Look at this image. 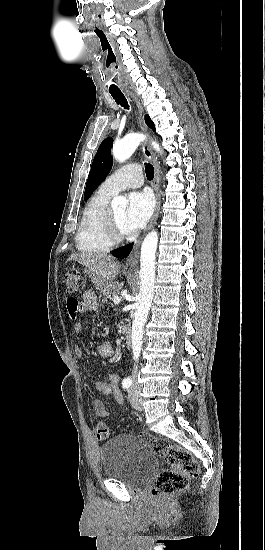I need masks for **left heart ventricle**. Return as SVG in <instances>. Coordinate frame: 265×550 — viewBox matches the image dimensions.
Returning a JSON list of instances; mask_svg holds the SVG:
<instances>
[{
  "label": "left heart ventricle",
  "mask_w": 265,
  "mask_h": 550,
  "mask_svg": "<svg viewBox=\"0 0 265 550\" xmlns=\"http://www.w3.org/2000/svg\"><path fill=\"white\" fill-rule=\"evenodd\" d=\"M112 212L115 216V219H116L120 229L122 231L126 232L125 227H124V217H125L126 209L125 208L112 209Z\"/></svg>",
  "instance_id": "left-heart-ventricle-1"
}]
</instances>
